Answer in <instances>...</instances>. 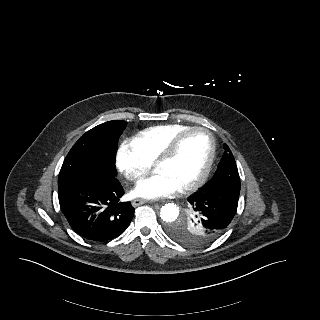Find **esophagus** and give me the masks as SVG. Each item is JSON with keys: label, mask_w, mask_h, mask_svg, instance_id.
<instances>
[{"label": "esophagus", "mask_w": 320, "mask_h": 320, "mask_svg": "<svg viewBox=\"0 0 320 320\" xmlns=\"http://www.w3.org/2000/svg\"><path fill=\"white\" fill-rule=\"evenodd\" d=\"M147 202H148V201L145 200V199H135V200H133L132 205H133L134 207H137V206L142 205V204H145V203H147Z\"/></svg>", "instance_id": "34e87169"}]
</instances>
